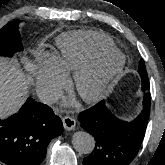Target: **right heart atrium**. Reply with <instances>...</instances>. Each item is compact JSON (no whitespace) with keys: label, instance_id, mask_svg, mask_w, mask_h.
<instances>
[{"label":"right heart atrium","instance_id":"d8ad5b80","mask_svg":"<svg viewBox=\"0 0 165 165\" xmlns=\"http://www.w3.org/2000/svg\"><path fill=\"white\" fill-rule=\"evenodd\" d=\"M66 72L63 71L54 60H46L40 67L36 86L46 99L56 96L67 83Z\"/></svg>","mask_w":165,"mask_h":165}]
</instances>
